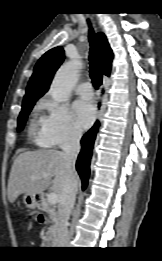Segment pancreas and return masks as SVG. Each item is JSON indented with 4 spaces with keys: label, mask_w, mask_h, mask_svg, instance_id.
I'll return each instance as SVG.
<instances>
[{
    "label": "pancreas",
    "mask_w": 162,
    "mask_h": 261,
    "mask_svg": "<svg viewBox=\"0 0 162 261\" xmlns=\"http://www.w3.org/2000/svg\"><path fill=\"white\" fill-rule=\"evenodd\" d=\"M43 210L49 215V218L51 219L52 225L49 227L48 231L46 232V239L52 240L57 235V228H58V219L55 216V213L52 211L50 204L45 203L43 205Z\"/></svg>",
    "instance_id": "pancreas-1"
}]
</instances>
